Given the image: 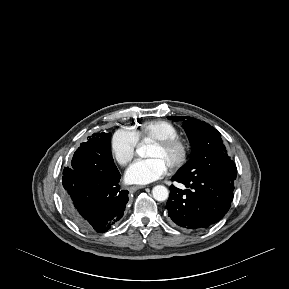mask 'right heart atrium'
Returning <instances> with one entry per match:
<instances>
[{"label":"right heart atrium","instance_id":"1","mask_svg":"<svg viewBox=\"0 0 289 289\" xmlns=\"http://www.w3.org/2000/svg\"><path fill=\"white\" fill-rule=\"evenodd\" d=\"M138 140L134 133L121 128L114 132L110 140V149L117 162L123 166L129 164L135 157Z\"/></svg>","mask_w":289,"mask_h":289}]
</instances>
